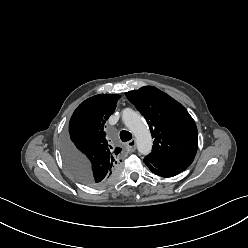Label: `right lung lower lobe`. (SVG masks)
<instances>
[{"label": "right lung lower lobe", "instance_id": "98d812e1", "mask_svg": "<svg viewBox=\"0 0 248 248\" xmlns=\"http://www.w3.org/2000/svg\"><path fill=\"white\" fill-rule=\"evenodd\" d=\"M64 161H65V163H66V165H67V167H68L69 169H71V170H73V171H75V170L79 171V170L76 168V166H75V164L73 163L72 160H64ZM79 172L81 173V179H82L81 182H83V183H85V184L91 185V181L87 178V175L84 174V173L81 172V171H79ZM96 178H97V179L101 178V180L107 181V177L104 178V176H96Z\"/></svg>", "mask_w": 248, "mask_h": 248}]
</instances>
